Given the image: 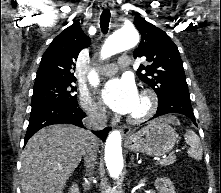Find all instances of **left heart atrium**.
Here are the masks:
<instances>
[{
	"mask_svg": "<svg viewBox=\"0 0 221 193\" xmlns=\"http://www.w3.org/2000/svg\"><path fill=\"white\" fill-rule=\"evenodd\" d=\"M101 99L112 111L131 114L139 101V94L133 80L115 78L107 82L101 92Z\"/></svg>",
	"mask_w": 221,
	"mask_h": 193,
	"instance_id": "left-heart-atrium-1",
	"label": "left heart atrium"
}]
</instances>
